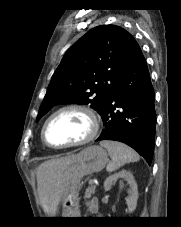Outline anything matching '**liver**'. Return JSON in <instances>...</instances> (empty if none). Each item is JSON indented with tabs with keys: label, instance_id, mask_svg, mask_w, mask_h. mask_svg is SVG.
<instances>
[{
	"label": "liver",
	"instance_id": "obj_1",
	"mask_svg": "<svg viewBox=\"0 0 181 227\" xmlns=\"http://www.w3.org/2000/svg\"><path fill=\"white\" fill-rule=\"evenodd\" d=\"M76 159L75 154L52 159L39 165L36 171L37 190L43 210L56 215L58 206L67 190L68 168Z\"/></svg>",
	"mask_w": 181,
	"mask_h": 227
}]
</instances>
